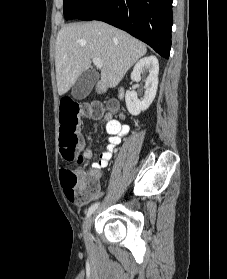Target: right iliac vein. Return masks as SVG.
<instances>
[{
  "label": "right iliac vein",
  "mask_w": 227,
  "mask_h": 279,
  "mask_svg": "<svg viewBox=\"0 0 227 279\" xmlns=\"http://www.w3.org/2000/svg\"><path fill=\"white\" fill-rule=\"evenodd\" d=\"M92 216H89L85 223H84V234H85V238L88 241L90 238V229H91V225H92Z\"/></svg>",
  "instance_id": "63e3f726"
}]
</instances>
